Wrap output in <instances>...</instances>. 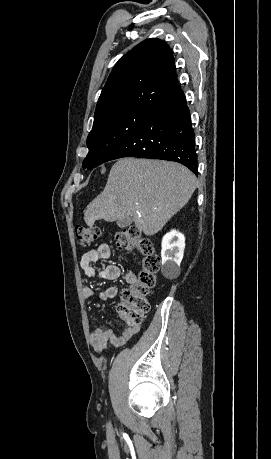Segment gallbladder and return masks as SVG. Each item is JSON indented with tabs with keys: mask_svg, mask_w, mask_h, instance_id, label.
Listing matches in <instances>:
<instances>
[{
	"mask_svg": "<svg viewBox=\"0 0 271 459\" xmlns=\"http://www.w3.org/2000/svg\"><path fill=\"white\" fill-rule=\"evenodd\" d=\"M130 224H132L131 218H124V220H118L117 222V226H119V228H127Z\"/></svg>",
	"mask_w": 271,
	"mask_h": 459,
	"instance_id": "bac80fb5",
	"label": "gallbladder"
}]
</instances>
